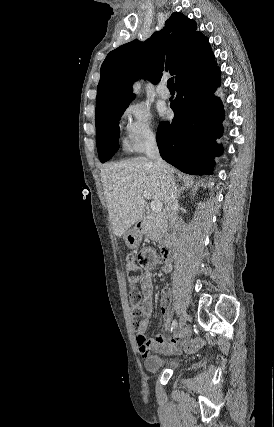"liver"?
Returning <instances> with one entry per match:
<instances>
[{
  "instance_id": "6515ba94",
  "label": "liver",
  "mask_w": 274,
  "mask_h": 427,
  "mask_svg": "<svg viewBox=\"0 0 274 427\" xmlns=\"http://www.w3.org/2000/svg\"><path fill=\"white\" fill-rule=\"evenodd\" d=\"M174 172V168L159 172L150 158H130L103 168L102 186L115 235L120 237L143 217L146 202L142 192H148L153 202L165 204L167 190L177 188Z\"/></svg>"
}]
</instances>
